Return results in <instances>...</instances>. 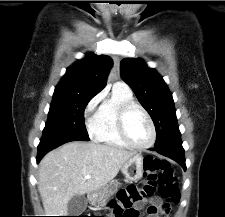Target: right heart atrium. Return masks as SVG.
<instances>
[{
    "label": "right heart atrium",
    "mask_w": 225,
    "mask_h": 217,
    "mask_svg": "<svg viewBox=\"0 0 225 217\" xmlns=\"http://www.w3.org/2000/svg\"><path fill=\"white\" fill-rule=\"evenodd\" d=\"M103 98V93L95 95L85 107L86 127L91 136L96 137L98 131V105Z\"/></svg>",
    "instance_id": "1"
}]
</instances>
